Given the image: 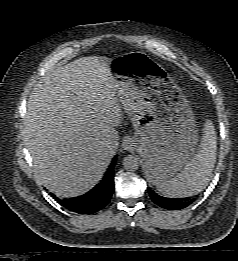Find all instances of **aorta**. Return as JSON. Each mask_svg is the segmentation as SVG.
Wrapping results in <instances>:
<instances>
[{
  "mask_svg": "<svg viewBox=\"0 0 238 261\" xmlns=\"http://www.w3.org/2000/svg\"><path fill=\"white\" fill-rule=\"evenodd\" d=\"M139 159L133 155H127L123 159V167L127 171H136L139 168Z\"/></svg>",
  "mask_w": 238,
  "mask_h": 261,
  "instance_id": "1",
  "label": "aorta"
}]
</instances>
